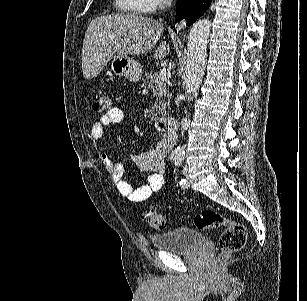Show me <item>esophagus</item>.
Segmentation results:
<instances>
[{"label": "esophagus", "mask_w": 307, "mask_h": 301, "mask_svg": "<svg viewBox=\"0 0 307 301\" xmlns=\"http://www.w3.org/2000/svg\"><path fill=\"white\" fill-rule=\"evenodd\" d=\"M180 29H185L186 28V23L182 22L179 26Z\"/></svg>", "instance_id": "34e87169"}]
</instances>
